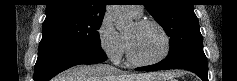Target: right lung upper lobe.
<instances>
[{
    "instance_id": "cb5924a9",
    "label": "right lung upper lobe",
    "mask_w": 237,
    "mask_h": 81,
    "mask_svg": "<svg viewBox=\"0 0 237 81\" xmlns=\"http://www.w3.org/2000/svg\"><path fill=\"white\" fill-rule=\"evenodd\" d=\"M107 0H49L46 19L56 16L103 17Z\"/></svg>"
}]
</instances>
